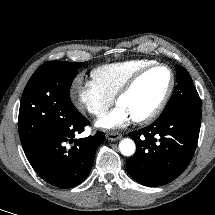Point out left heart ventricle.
<instances>
[{
    "mask_svg": "<svg viewBox=\"0 0 215 215\" xmlns=\"http://www.w3.org/2000/svg\"><path fill=\"white\" fill-rule=\"evenodd\" d=\"M170 83V74L166 68H156L148 72L136 84L130 93L118 101L134 119L150 113L164 96Z\"/></svg>",
    "mask_w": 215,
    "mask_h": 215,
    "instance_id": "left-heart-ventricle-1",
    "label": "left heart ventricle"
}]
</instances>
